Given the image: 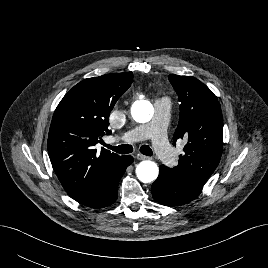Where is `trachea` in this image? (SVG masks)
I'll list each match as a JSON object with an SVG mask.
<instances>
[{
    "label": "trachea",
    "instance_id": "obj_1",
    "mask_svg": "<svg viewBox=\"0 0 268 268\" xmlns=\"http://www.w3.org/2000/svg\"><path fill=\"white\" fill-rule=\"evenodd\" d=\"M108 149H111L113 151H115L116 153L119 154H128L131 153L133 151V147L131 145L128 144H122L119 146H111V145H105ZM140 152L146 156H152L153 152L151 150V148L148 145H142L140 147Z\"/></svg>",
    "mask_w": 268,
    "mask_h": 268
}]
</instances>
